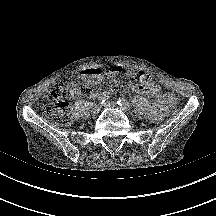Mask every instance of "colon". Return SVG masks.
Segmentation results:
<instances>
[{"label":"colon","mask_w":216,"mask_h":216,"mask_svg":"<svg viewBox=\"0 0 216 216\" xmlns=\"http://www.w3.org/2000/svg\"><path fill=\"white\" fill-rule=\"evenodd\" d=\"M79 87L75 84H65L60 82L54 85L47 94L48 101L44 105V112L50 116L53 121L60 126H68L71 123V117L68 112L69 100L78 92ZM170 112L173 115L178 114V101L173 96L170 104Z\"/></svg>","instance_id":"colon-1"}]
</instances>
